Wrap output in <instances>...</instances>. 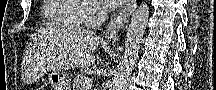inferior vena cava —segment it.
<instances>
[{
	"instance_id": "inferior-vena-cava-1",
	"label": "inferior vena cava",
	"mask_w": 216,
	"mask_h": 90,
	"mask_svg": "<svg viewBox=\"0 0 216 90\" xmlns=\"http://www.w3.org/2000/svg\"><path fill=\"white\" fill-rule=\"evenodd\" d=\"M95 12L96 18L99 22H102V20H106V18H108V12L105 6H95Z\"/></svg>"
}]
</instances>
